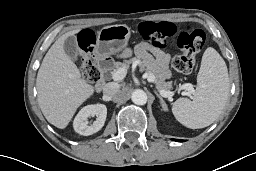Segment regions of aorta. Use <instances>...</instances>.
Returning a JSON list of instances; mask_svg holds the SVG:
<instances>
[{
	"label": "aorta",
	"mask_w": 256,
	"mask_h": 171,
	"mask_svg": "<svg viewBox=\"0 0 256 171\" xmlns=\"http://www.w3.org/2000/svg\"><path fill=\"white\" fill-rule=\"evenodd\" d=\"M132 102L136 105H145L147 103V94L141 90L137 89L132 93Z\"/></svg>",
	"instance_id": "aorta-1"
}]
</instances>
